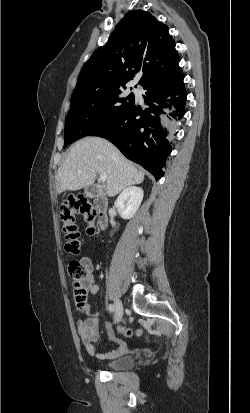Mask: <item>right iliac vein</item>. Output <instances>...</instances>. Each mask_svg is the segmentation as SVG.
<instances>
[{"mask_svg": "<svg viewBox=\"0 0 250 413\" xmlns=\"http://www.w3.org/2000/svg\"><path fill=\"white\" fill-rule=\"evenodd\" d=\"M115 321L119 322L123 316V305L120 300L116 299L114 304Z\"/></svg>", "mask_w": 250, "mask_h": 413, "instance_id": "63e3f726", "label": "right iliac vein"}]
</instances>
